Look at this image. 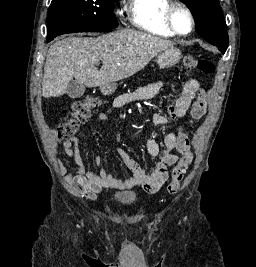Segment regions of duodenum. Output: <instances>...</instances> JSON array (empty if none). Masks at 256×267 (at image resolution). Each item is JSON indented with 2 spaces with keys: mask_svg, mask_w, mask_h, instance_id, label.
Here are the masks:
<instances>
[{
  "mask_svg": "<svg viewBox=\"0 0 256 267\" xmlns=\"http://www.w3.org/2000/svg\"><path fill=\"white\" fill-rule=\"evenodd\" d=\"M102 85L98 86L99 94H115V87L117 86L116 78H107L106 81H102Z\"/></svg>",
  "mask_w": 256,
  "mask_h": 267,
  "instance_id": "410a0bca",
  "label": "duodenum"
}]
</instances>
